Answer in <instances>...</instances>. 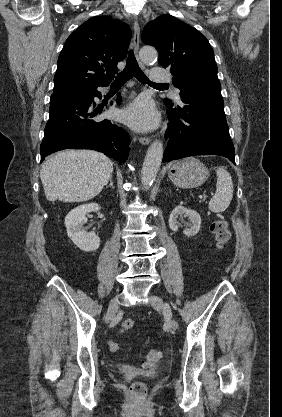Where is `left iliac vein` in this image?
Instances as JSON below:
<instances>
[{"instance_id":"4c4485c4","label":"left iliac vein","mask_w":282,"mask_h":417,"mask_svg":"<svg viewBox=\"0 0 282 417\" xmlns=\"http://www.w3.org/2000/svg\"><path fill=\"white\" fill-rule=\"evenodd\" d=\"M150 304L151 306L156 309L157 311H163L164 309V303L163 300L158 297L152 295L150 297ZM166 322L171 330L176 331L178 329V323L175 319H173L170 315H166Z\"/></svg>"}]
</instances>
